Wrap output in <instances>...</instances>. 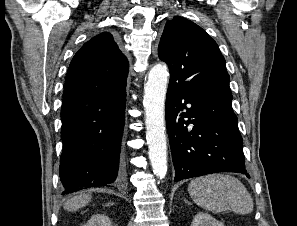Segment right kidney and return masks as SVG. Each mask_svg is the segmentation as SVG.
Returning <instances> with one entry per match:
<instances>
[{
	"label": "right kidney",
	"mask_w": 297,
	"mask_h": 226,
	"mask_svg": "<svg viewBox=\"0 0 297 226\" xmlns=\"http://www.w3.org/2000/svg\"><path fill=\"white\" fill-rule=\"evenodd\" d=\"M84 226H112L110 219L104 214H95Z\"/></svg>",
	"instance_id": "1"
}]
</instances>
